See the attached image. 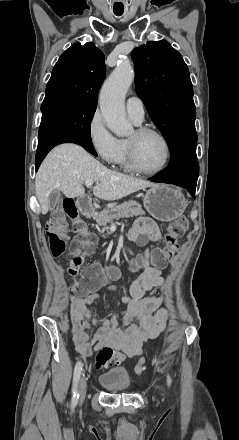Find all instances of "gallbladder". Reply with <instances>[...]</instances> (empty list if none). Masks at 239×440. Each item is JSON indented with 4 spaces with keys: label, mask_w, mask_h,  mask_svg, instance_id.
<instances>
[{
    "label": "gallbladder",
    "mask_w": 239,
    "mask_h": 440,
    "mask_svg": "<svg viewBox=\"0 0 239 440\" xmlns=\"http://www.w3.org/2000/svg\"><path fill=\"white\" fill-rule=\"evenodd\" d=\"M60 196L61 194L60 192H58V190H53V192H50L48 196V208L50 212H52V210H55Z\"/></svg>",
    "instance_id": "obj_1"
}]
</instances>
